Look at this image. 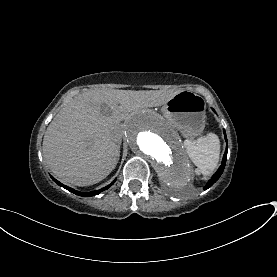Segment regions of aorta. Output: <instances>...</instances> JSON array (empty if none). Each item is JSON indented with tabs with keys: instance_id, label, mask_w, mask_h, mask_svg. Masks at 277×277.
Listing matches in <instances>:
<instances>
[{
	"instance_id": "762f6f07",
	"label": "aorta",
	"mask_w": 277,
	"mask_h": 277,
	"mask_svg": "<svg viewBox=\"0 0 277 277\" xmlns=\"http://www.w3.org/2000/svg\"><path fill=\"white\" fill-rule=\"evenodd\" d=\"M126 138L130 148L151 164L164 184L172 188L188 184L192 168L182 142L159 115L143 112L133 117Z\"/></svg>"
}]
</instances>
